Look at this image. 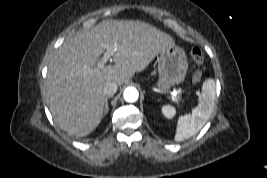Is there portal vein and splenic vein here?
<instances>
[{"label":"portal vein and splenic vein","instance_id":"18ae733b","mask_svg":"<svg viewBox=\"0 0 267 178\" xmlns=\"http://www.w3.org/2000/svg\"><path fill=\"white\" fill-rule=\"evenodd\" d=\"M116 50H117V44L107 45L106 52L104 53L101 60L98 62V67L102 68L107 63V61L111 58V56L114 54ZM172 100L177 101V94L175 92H173L172 94Z\"/></svg>","mask_w":267,"mask_h":178}]
</instances>
